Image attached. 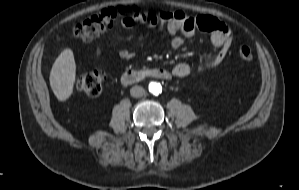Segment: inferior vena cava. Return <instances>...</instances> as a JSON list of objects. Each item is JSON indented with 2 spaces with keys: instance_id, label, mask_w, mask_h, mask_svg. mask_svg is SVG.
Segmentation results:
<instances>
[{
  "instance_id": "1",
  "label": "inferior vena cava",
  "mask_w": 299,
  "mask_h": 190,
  "mask_svg": "<svg viewBox=\"0 0 299 190\" xmlns=\"http://www.w3.org/2000/svg\"><path fill=\"white\" fill-rule=\"evenodd\" d=\"M146 93L145 89L141 86H133L131 89H130V94L132 97H142L144 96Z\"/></svg>"
}]
</instances>
